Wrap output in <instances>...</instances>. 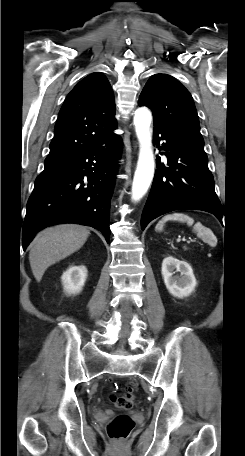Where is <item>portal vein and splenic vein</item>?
Returning a JSON list of instances; mask_svg holds the SVG:
<instances>
[{"label": "portal vein and splenic vein", "instance_id": "obj_1", "mask_svg": "<svg viewBox=\"0 0 245 456\" xmlns=\"http://www.w3.org/2000/svg\"><path fill=\"white\" fill-rule=\"evenodd\" d=\"M183 241H185L187 244H190L192 242V241L186 240V239H183Z\"/></svg>", "mask_w": 245, "mask_h": 456}]
</instances>
